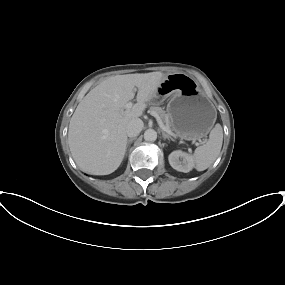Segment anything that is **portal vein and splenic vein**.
I'll return each instance as SVG.
<instances>
[{"instance_id":"obj_1","label":"portal vein and splenic vein","mask_w":285,"mask_h":285,"mask_svg":"<svg viewBox=\"0 0 285 285\" xmlns=\"http://www.w3.org/2000/svg\"><path fill=\"white\" fill-rule=\"evenodd\" d=\"M133 103L132 102H128L126 105H125V109H130L132 107ZM152 116H154L159 124V126L165 131L167 132L168 134L170 135H173L174 133L171 131V129L169 127H167L166 125H164L161 117L156 113V112H153L151 111L150 113Z\"/></svg>"}]
</instances>
